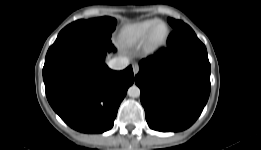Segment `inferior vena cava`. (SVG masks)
<instances>
[{"label":"inferior vena cava","mask_w":261,"mask_h":150,"mask_svg":"<svg viewBox=\"0 0 261 150\" xmlns=\"http://www.w3.org/2000/svg\"><path fill=\"white\" fill-rule=\"evenodd\" d=\"M129 64L128 57H117L113 58L108 62V66L113 70H123Z\"/></svg>","instance_id":"inferior-vena-cava-1"}]
</instances>
